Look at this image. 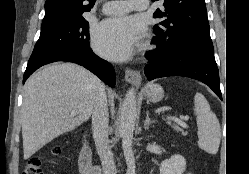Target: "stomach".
I'll return each instance as SVG.
<instances>
[{
	"mask_svg": "<svg viewBox=\"0 0 249 174\" xmlns=\"http://www.w3.org/2000/svg\"><path fill=\"white\" fill-rule=\"evenodd\" d=\"M147 98L151 102H159L164 97V90L159 84L149 83L145 86Z\"/></svg>",
	"mask_w": 249,
	"mask_h": 174,
	"instance_id": "1",
	"label": "stomach"
}]
</instances>
